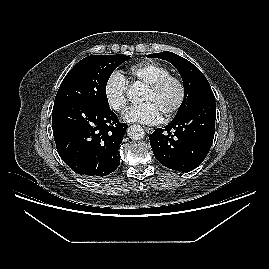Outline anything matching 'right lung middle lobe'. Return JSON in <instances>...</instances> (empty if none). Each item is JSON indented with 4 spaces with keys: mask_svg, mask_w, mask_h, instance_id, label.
<instances>
[{
    "mask_svg": "<svg viewBox=\"0 0 269 269\" xmlns=\"http://www.w3.org/2000/svg\"><path fill=\"white\" fill-rule=\"evenodd\" d=\"M129 56L92 55L79 61L65 76L54 105L78 102L109 109L106 84L112 72Z\"/></svg>",
    "mask_w": 269,
    "mask_h": 269,
    "instance_id": "right-lung-middle-lobe-1",
    "label": "right lung middle lobe"
}]
</instances>
